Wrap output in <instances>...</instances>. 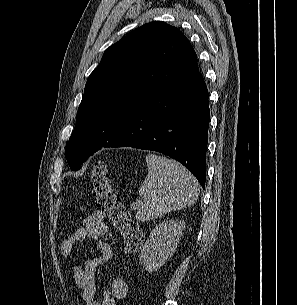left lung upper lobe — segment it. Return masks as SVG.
<instances>
[{
  "label": "left lung upper lobe",
  "mask_w": 297,
  "mask_h": 305,
  "mask_svg": "<svg viewBox=\"0 0 297 305\" xmlns=\"http://www.w3.org/2000/svg\"><path fill=\"white\" fill-rule=\"evenodd\" d=\"M198 70L197 55L176 27L150 22L110 46L90 74L66 145L71 170L102 148L153 86Z\"/></svg>",
  "instance_id": "1"
}]
</instances>
